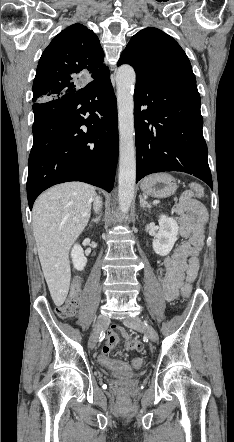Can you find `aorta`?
I'll return each instance as SVG.
<instances>
[{
	"mask_svg": "<svg viewBox=\"0 0 234 442\" xmlns=\"http://www.w3.org/2000/svg\"><path fill=\"white\" fill-rule=\"evenodd\" d=\"M136 74L130 65H122L116 74L119 121V209L126 214L131 206L136 181L134 130V86Z\"/></svg>",
	"mask_w": 234,
	"mask_h": 442,
	"instance_id": "aorta-1",
	"label": "aorta"
}]
</instances>
